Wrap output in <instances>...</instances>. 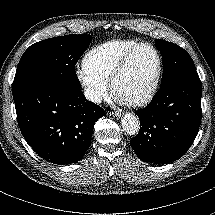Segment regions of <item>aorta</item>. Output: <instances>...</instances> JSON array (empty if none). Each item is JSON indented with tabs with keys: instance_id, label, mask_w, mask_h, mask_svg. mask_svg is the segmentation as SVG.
Listing matches in <instances>:
<instances>
[{
	"instance_id": "obj_1",
	"label": "aorta",
	"mask_w": 215,
	"mask_h": 215,
	"mask_svg": "<svg viewBox=\"0 0 215 215\" xmlns=\"http://www.w3.org/2000/svg\"><path fill=\"white\" fill-rule=\"evenodd\" d=\"M122 128L128 135H136L140 130V121L136 116L126 115L122 119Z\"/></svg>"
}]
</instances>
